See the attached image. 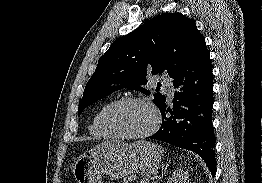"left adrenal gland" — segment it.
<instances>
[{
    "instance_id": "1",
    "label": "left adrenal gland",
    "mask_w": 262,
    "mask_h": 183,
    "mask_svg": "<svg viewBox=\"0 0 262 183\" xmlns=\"http://www.w3.org/2000/svg\"><path fill=\"white\" fill-rule=\"evenodd\" d=\"M169 164H166L165 168H162V173L161 176L158 177V179L156 181H154L153 183H157V181L163 176V174L165 173L166 169L168 168Z\"/></svg>"
}]
</instances>
